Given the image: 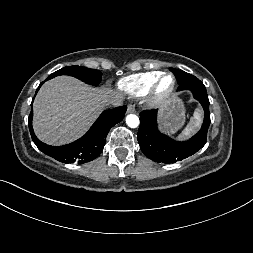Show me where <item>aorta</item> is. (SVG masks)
<instances>
[{
    "label": "aorta",
    "instance_id": "1",
    "mask_svg": "<svg viewBox=\"0 0 253 253\" xmlns=\"http://www.w3.org/2000/svg\"><path fill=\"white\" fill-rule=\"evenodd\" d=\"M126 123L129 127L136 128L139 126L140 121L136 115L130 114L126 117Z\"/></svg>",
    "mask_w": 253,
    "mask_h": 253
}]
</instances>
